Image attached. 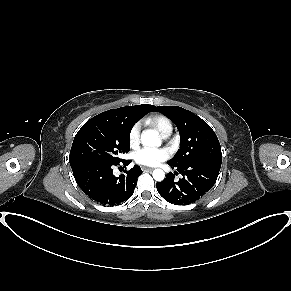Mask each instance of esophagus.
<instances>
[{"label":"esophagus","mask_w":291,"mask_h":291,"mask_svg":"<svg viewBox=\"0 0 291 291\" xmlns=\"http://www.w3.org/2000/svg\"><path fill=\"white\" fill-rule=\"evenodd\" d=\"M142 170H143V171H153L154 169L151 168V167H145V166H143V167H142Z\"/></svg>","instance_id":"obj_1"}]
</instances>
